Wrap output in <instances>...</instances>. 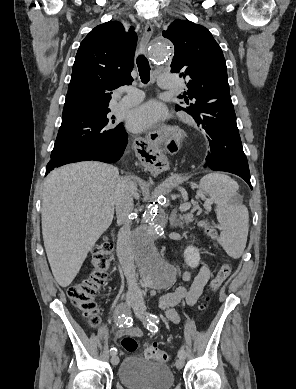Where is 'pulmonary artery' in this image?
<instances>
[{"mask_svg": "<svg viewBox=\"0 0 296 389\" xmlns=\"http://www.w3.org/2000/svg\"><path fill=\"white\" fill-rule=\"evenodd\" d=\"M178 83L174 76L170 74H162L159 77V86L163 89H175ZM144 98L142 91L131 87L126 90V95L120 100L118 106L120 108H128L140 103Z\"/></svg>", "mask_w": 296, "mask_h": 389, "instance_id": "e3ab8cb5", "label": "pulmonary artery"}]
</instances>
